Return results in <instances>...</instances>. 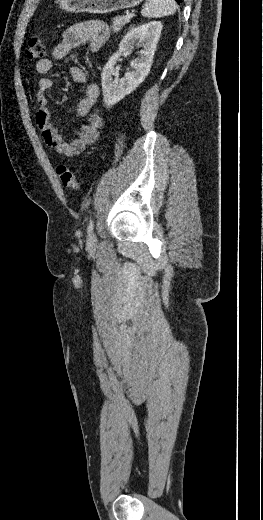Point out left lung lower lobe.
Segmentation results:
<instances>
[{"mask_svg": "<svg viewBox=\"0 0 263 520\" xmlns=\"http://www.w3.org/2000/svg\"><path fill=\"white\" fill-rule=\"evenodd\" d=\"M176 1H177L178 3H180V2H181V0H176Z\"/></svg>", "mask_w": 263, "mask_h": 520, "instance_id": "left-lung-lower-lobe-1", "label": "left lung lower lobe"}]
</instances>
